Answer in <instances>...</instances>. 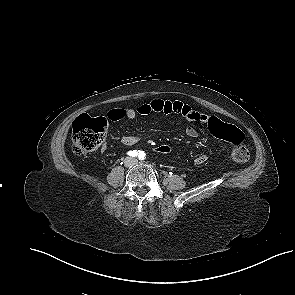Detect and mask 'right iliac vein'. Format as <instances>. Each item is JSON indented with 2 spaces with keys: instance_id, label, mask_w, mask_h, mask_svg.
<instances>
[{
  "instance_id": "obj_1",
  "label": "right iliac vein",
  "mask_w": 295,
  "mask_h": 295,
  "mask_svg": "<svg viewBox=\"0 0 295 295\" xmlns=\"http://www.w3.org/2000/svg\"><path fill=\"white\" fill-rule=\"evenodd\" d=\"M125 165L126 166H130L131 164H132V159L131 158H127V159H125Z\"/></svg>"
}]
</instances>
